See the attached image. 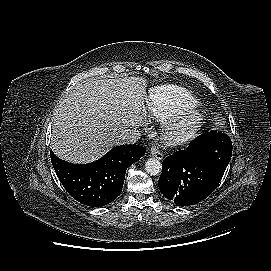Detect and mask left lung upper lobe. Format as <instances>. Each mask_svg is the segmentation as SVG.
Returning a JSON list of instances; mask_svg holds the SVG:
<instances>
[{"mask_svg":"<svg viewBox=\"0 0 271 271\" xmlns=\"http://www.w3.org/2000/svg\"><path fill=\"white\" fill-rule=\"evenodd\" d=\"M200 152L205 161L226 170L232 155V143L226 135L220 141L205 144Z\"/></svg>","mask_w":271,"mask_h":271,"instance_id":"1","label":"left lung upper lobe"}]
</instances>
